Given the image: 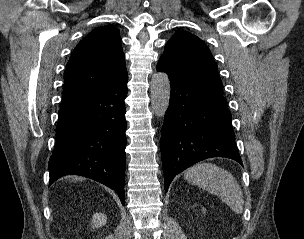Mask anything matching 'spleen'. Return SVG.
<instances>
[{
  "label": "spleen",
  "instance_id": "spleen-1",
  "mask_svg": "<svg viewBox=\"0 0 304 239\" xmlns=\"http://www.w3.org/2000/svg\"><path fill=\"white\" fill-rule=\"evenodd\" d=\"M185 179L193 185L217 195L237 214L243 212L244 197L235 177L211 163H199L189 168Z\"/></svg>",
  "mask_w": 304,
  "mask_h": 239
}]
</instances>
